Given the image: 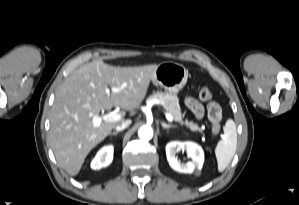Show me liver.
<instances>
[{"mask_svg": "<svg viewBox=\"0 0 299 205\" xmlns=\"http://www.w3.org/2000/svg\"><path fill=\"white\" fill-rule=\"evenodd\" d=\"M157 66L116 67L97 60L64 81L52 107L49 139L57 162L69 175H77L89 152L124 121L95 127L92 118L113 106L128 111L139 107ZM108 87L119 91L107 93Z\"/></svg>", "mask_w": 299, "mask_h": 205, "instance_id": "6515ba94", "label": "liver"}]
</instances>
